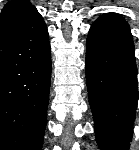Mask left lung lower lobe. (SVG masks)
<instances>
[{"mask_svg":"<svg viewBox=\"0 0 139 150\" xmlns=\"http://www.w3.org/2000/svg\"><path fill=\"white\" fill-rule=\"evenodd\" d=\"M86 80L96 139L102 150H128L138 89L129 25L107 13L91 26L86 43Z\"/></svg>","mask_w":139,"mask_h":150,"instance_id":"0a47b994","label":"left lung lower lobe"}]
</instances>
